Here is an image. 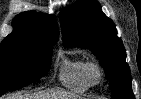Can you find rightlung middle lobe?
<instances>
[{
  "instance_id": "1",
  "label": "right lung middle lobe",
  "mask_w": 141,
  "mask_h": 99,
  "mask_svg": "<svg viewBox=\"0 0 141 99\" xmlns=\"http://www.w3.org/2000/svg\"><path fill=\"white\" fill-rule=\"evenodd\" d=\"M54 44L3 40L0 45V95L45 76Z\"/></svg>"
}]
</instances>
